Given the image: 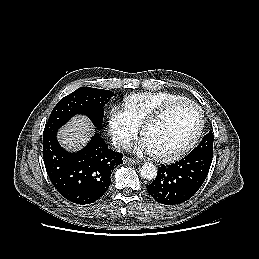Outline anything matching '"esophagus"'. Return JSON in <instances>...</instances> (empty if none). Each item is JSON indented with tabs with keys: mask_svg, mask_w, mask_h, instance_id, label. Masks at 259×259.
Masks as SVG:
<instances>
[{
	"mask_svg": "<svg viewBox=\"0 0 259 259\" xmlns=\"http://www.w3.org/2000/svg\"><path fill=\"white\" fill-rule=\"evenodd\" d=\"M124 162L130 163V164H134V165H139L140 164L139 160H135V159H132V158H129V157H125L124 158Z\"/></svg>",
	"mask_w": 259,
	"mask_h": 259,
	"instance_id": "1",
	"label": "esophagus"
}]
</instances>
